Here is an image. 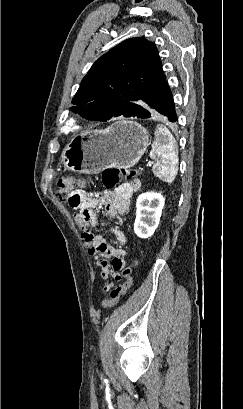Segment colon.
<instances>
[{
  "instance_id": "obj_1",
  "label": "colon",
  "mask_w": 243,
  "mask_h": 409,
  "mask_svg": "<svg viewBox=\"0 0 243 409\" xmlns=\"http://www.w3.org/2000/svg\"><path fill=\"white\" fill-rule=\"evenodd\" d=\"M137 175L134 169L127 167H108L102 173V181L106 188L111 189L116 187L122 180H132ZM82 185V181L73 177L62 178L57 183V195L61 201L72 208H75L80 203V198L77 191L74 190L75 185ZM138 260L125 267L122 270L124 282L117 285L110 293L109 298L102 303L104 309L115 307L119 300L127 293L132 286V271L137 265Z\"/></svg>"
}]
</instances>
